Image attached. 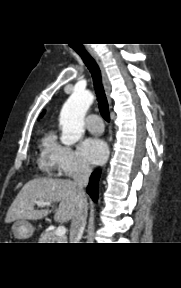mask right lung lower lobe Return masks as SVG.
I'll return each mask as SVG.
<instances>
[{
    "instance_id": "98d812e1",
    "label": "right lung lower lobe",
    "mask_w": 181,
    "mask_h": 288,
    "mask_svg": "<svg viewBox=\"0 0 181 288\" xmlns=\"http://www.w3.org/2000/svg\"><path fill=\"white\" fill-rule=\"evenodd\" d=\"M100 177V171L96 170L92 173L89 181V185L87 186V192L91 196V198L96 201L97 200V192H98V180Z\"/></svg>"
}]
</instances>
